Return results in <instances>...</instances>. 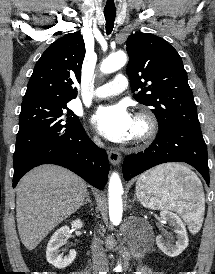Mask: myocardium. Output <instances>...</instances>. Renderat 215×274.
Wrapping results in <instances>:
<instances>
[{
    "label": "myocardium",
    "instance_id": "1",
    "mask_svg": "<svg viewBox=\"0 0 215 274\" xmlns=\"http://www.w3.org/2000/svg\"><path fill=\"white\" fill-rule=\"evenodd\" d=\"M135 121L141 126V131L132 136V141L136 144L151 141L158 131V122L155 116L148 110H141L136 114Z\"/></svg>",
    "mask_w": 215,
    "mask_h": 274
}]
</instances>
